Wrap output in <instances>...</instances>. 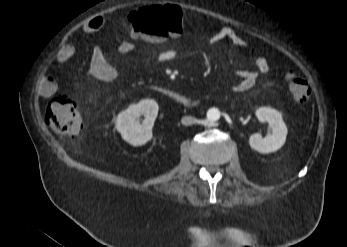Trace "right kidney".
<instances>
[{
    "label": "right kidney",
    "mask_w": 347,
    "mask_h": 247,
    "mask_svg": "<svg viewBox=\"0 0 347 247\" xmlns=\"http://www.w3.org/2000/svg\"><path fill=\"white\" fill-rule=\"evenodd\" d=\"M159 106L155 100L144 99L137 104L130 105L117 116L115 128L122 138L133 146H140L152 138V127L157 118ZM144 115L140 124L137 118Z\"/></svg>",
    "instance_id": "obj_1"
}]
</instances>
